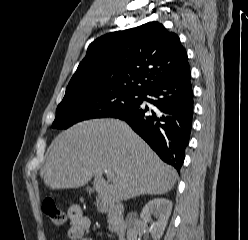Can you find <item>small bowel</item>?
<instances>
[{
    "instance_id": "obj_1",
    "label": "small bowel",
    "mask_w": 248,
    "mask_h": 240,
    "mask_svg": "<svg viewBox=\"0 0 248 240\" xmlns=\"http://www.w3.org/2000/svg\"><path fill=\"white\" fill-rule=\"evenodd\" d=\"M67 215L70 222L68 229L70 240H94L90 235L91 221L83 214L80 206L72 205Z\"/></svg>"
}]
</instances>
